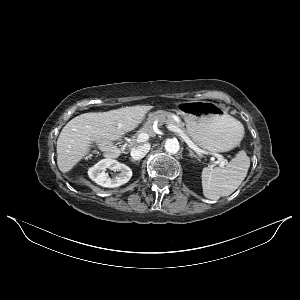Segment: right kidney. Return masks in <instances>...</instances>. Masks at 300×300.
<instances>
[{"mask_svg": "<svg viewBox=\"0 0 300 300\" xmlns=\"http://www.w3.org/2000/svg\"><path fill=\"white\" fill-rule=\"evenodd\" d=\"M106 169L119 171V173L113 178H110L108 174L105 173ZM88 176L98 185L115 188L130 180L132 177V170L127 165L119 163L117 160L106 158L89 168Z\"/></svg>", "mask_w": 300, "mask_h": 300, "instance_id": "1", "label": "right kidney"}]
</instances>
